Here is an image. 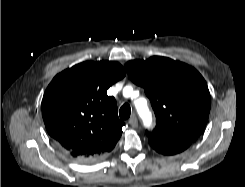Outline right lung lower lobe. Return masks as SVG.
<instances>
[{"label": "right lung lower lobe", "instance_id": "98d812e1", "mask_svg": "<svg viewBox=\"0 0 245 187\" xmlns=\"http://www.w3.org/2000/svg\"><path fill=\"white\" fill-rule=\"evenodd\" d=\"M62 148V147H61ZM62 150L65 152V153H67L68 155H70V153H68L65 149H63L62 148ZM71 156V155H70ZM73 157V156H72ZM74 158V157H73ZM75 159H77V160H79V161H82V162H87L88 160L87 159H84V158H75Z\"/></svg>", "mask_w": 245, "mask_h": 187}]
</instances>
